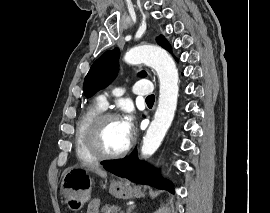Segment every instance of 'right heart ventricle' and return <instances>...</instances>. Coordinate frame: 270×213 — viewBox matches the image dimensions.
I'll return each mask as SVG.
<instances>
[{
  "label": "right heart ventricle",
  "mask_w": 270,
  "mask_h": 213,
  "mask_svg": "<svg viewBox=\"0 0 270 213\" xmlns=\"http://www.w3.org/2000/svg\"><path fill=\"white\" fill-rule=\"evenodd\" d=\"M103 108L98 105V103H94L89 106L79 117L77 125H76V132H75V151L78 159L84 163H95L97 162V158L93 156L86 147V131L94 119L96 115L101 113Z\"/></svg>",
  "instance_id": "right-heart-ventricle-1"
}]
</instances>
